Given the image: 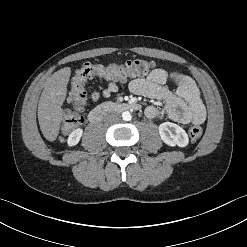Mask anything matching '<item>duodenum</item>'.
Wrapping results in <instances>:
<instances>
[{
	"instance_id": "410a0bca",
	"label": "duodenum",
	"mask_w": 247,
	"mask_h": 247,
	"mask_svg": "<svg viewBox=\"0 0 247 247\" xmlns=\"http://www.w3.org/2000/svg\"><path fill=\"white\" fill-rule=\"evenodd\" d=\"M140 107L136 103L122 102V103H103L95 107L88 115V119L91 123H98L101 121L103 116L112 111H129L138 110Z\"/></svg>"
}]
</instances>
